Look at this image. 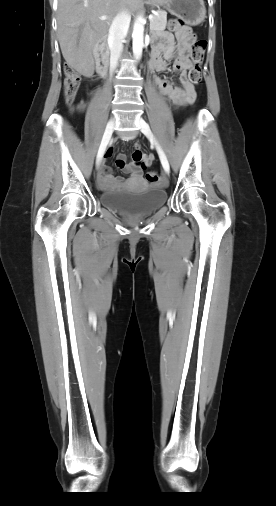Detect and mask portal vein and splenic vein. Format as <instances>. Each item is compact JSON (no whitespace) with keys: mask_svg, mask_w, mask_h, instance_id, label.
<instances>
[{"mask_svg":"<svg viewBox=\"0 0 276 506\" xmlns=\"http://www.w3.org/2000/svg\"><path fill=\"white\" fill-rule=\"evenodd\" d=\"M100 19H101V20H106V19H107V17H106V16H101V17H100ZM149 20H150V21H152V20H153V15H150V16H149Z\"/></svg>","mask_w":276,"mask_h":506,"instance_id":"18ae733b","label":"portal vein and splenic vein"}]
</instances>
